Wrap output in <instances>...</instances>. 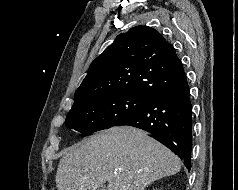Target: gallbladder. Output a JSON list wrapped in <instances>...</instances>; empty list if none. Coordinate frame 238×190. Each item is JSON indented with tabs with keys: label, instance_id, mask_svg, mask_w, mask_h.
Returning a JSON list of instances; mask_svg holds the SVG:
<instances>
[{
	"label": "gallbladder",
	"instance_id": "1",
	"mask_svg": "<svg viewBox=\"0 0 238 190\" xmlns=\"http://www.w3.org/2000/svg\"><path fill=\"white\" fill-rule=\"evenodd\" d=\"M98 190H108V186L107 185H102L98 188Z\"/></svg>",
	"mask_w": 238,
	"mask_h": 190
}]
</instances>
